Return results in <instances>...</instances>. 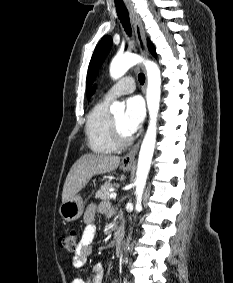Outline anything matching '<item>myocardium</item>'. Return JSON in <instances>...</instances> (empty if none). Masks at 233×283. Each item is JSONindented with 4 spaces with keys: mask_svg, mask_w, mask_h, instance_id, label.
I'll list each match as a JSON object with an SVG mask.
<instances>
[{
    "mask_svg": "<svg viewBox=\"0 0 233 283\" xmlns=\"http://www.w3.org/2000/svg\"><path fill=\"white\" fill-rule=\"evenodd\" d=\"M110 128L112 141L117 148L128 146L132 142L133 137L131 135L123 136L121 134L114 117H111Z\"/></svg>",
    "mask_w": 233,
    "mask_h": 283,
    "instance_id": "obj_1",
    "label": "myocardium"
}]
</instances>
